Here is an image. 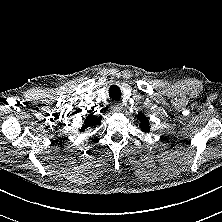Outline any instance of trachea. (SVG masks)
I'll list each match as a JSON object with an SVG mask.
<instances>
[{
	"mask_svg": "<svg viewBox=\"0 0 222 222\" xmlns=\"http://www.w3.org/2000/svg\"><path fill=\"white\" fill-rule=\"evenodd\" d=\"M109 96L113 100H119L121 97V90L117 85H112L109 88Z\"/></svg>",
	"mask_w": 222,
	"mask_h": 222,
	"instance_id": "obj_1",
	"label": "trachea"
}]
</instances>
